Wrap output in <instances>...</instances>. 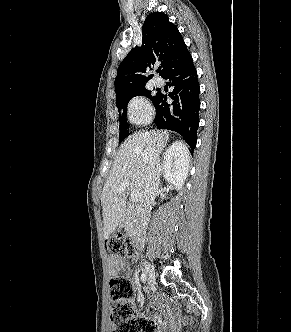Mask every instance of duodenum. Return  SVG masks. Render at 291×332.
Instances as JSON below:
<instances>
[{
	"mask_svg": "<svg viewBox=\"0 0 291 332\" xmlns=\"http://www.w3.org/2000/svg\"><path fill=\"white\" fill-rule=\"evenodd\" d=\"M134 240L136 242L137 245L141 244L142 243V240H143V235L141 232H137L134 236Z\"/></svg>",
	"mask_w": 291,
	"mask_h": 332,
	"instance_id": "duodenum-1",
	"label": "duodenum"
}]
</instances>
